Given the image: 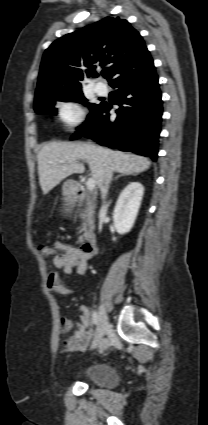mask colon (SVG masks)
<instances>
[{
    "label": "colon",
    "mask_w": 208,
    "mask_h": 425,
    "mask_svg": "<svg viewBox=\"0 0 208 425\" xmlns=\"http://www.w3.org/2000/svg\"><path fill=\"white\" fill-rule=\"evenodd\" d=\"M39 250L42 253V255L46 257L53 256L55 254V249L47 244H41L39 246Z\"/></svg>",
    "instance_id": "colon-1"
}]
</instances>
